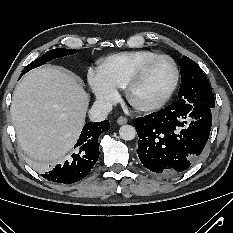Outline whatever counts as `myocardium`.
<instances>
[{
  "mask_svg": "<svg viewBox=\"0 0 233 233\" xmlns=\"http://www.w3.org/2000/svg\"><path fill=\"white\" fill-rule=\"evenodd\" d=\"M168 59L172 66H173V70H174V76H173V80L170 84V86L168 87V89L166 90V92L156 101L152 102V103H148V104H144V105H140L135 103L132 98H131V92L134 88V86L138 83V81L141 79L143 73L145 72L146 68L154 61L158 60V59ZM179 78H180V72H179V68L177 66V63L175 62V60L167 55V54H156L146 60H144L129 76V78L127 79L125 85H124V93H125V97L127 99V101L137 110L140 111H153L156 109H159L160 107H162L172 96V94L174 93L178 82H179Z\"/></svg>",
  "mask_w": 233,
  "mask_h": 233,
  "instance_id": "myocardium-1",
  "label": "myocardium"
}]
</instances>
